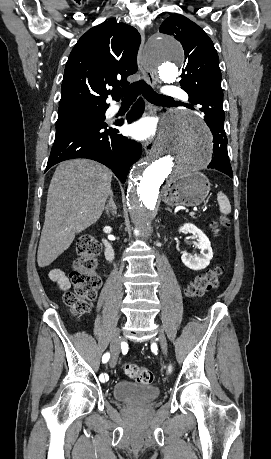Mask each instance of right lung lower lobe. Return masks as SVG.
<instances>
[{"label":"right lung lower lobe","mask_w":271,"mask_h":459,"mask_svg":"<svg viewBox=\"0 0 271 459\" xmlns=\"http://www.w3.org/2000/svg\"><path fill=\"white\" fill-rule=\"evenodd\" d=\"M144 103L139 99L127 115L132 122L143 112ZM118 121L115 125H121ZM141 145L108 127L104 120L82 121L56 129L55 141L45 172L53 165L68 159L87 158L111 168L125 183L130 166L139 160Z\"/></svg>","instance_id":"98d812e1"}]
</instances>
